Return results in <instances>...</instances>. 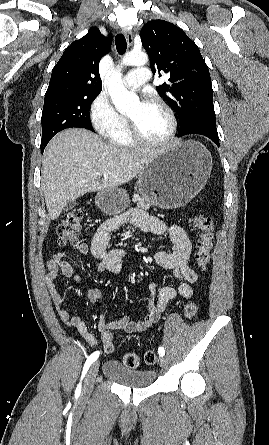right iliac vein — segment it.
<instances>
[{
    "label": "right iliac vein",
    "mask_w": 269,
    "mask_h": 445,
    "mask_svg": "<svg viewBox=\"0 0 269 445\" xmlns=\"http://www.w3.org/2000/svg\"><path fill=\"white\" fill-rule=\"evenodd\" d=\"M98 369H99V362L96 361L92 364V366L90 367V370L87 374V377L85 379V383H84V387L82 390V397L83 398H87L90 396L93 387H94V383H95V378L97 376L98 373Z\"/></svg>",
    "instance_id": "63e3f726"
}]
</instances>
